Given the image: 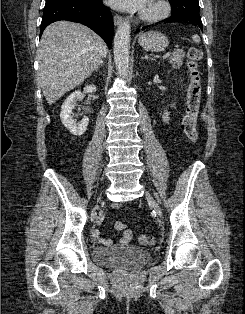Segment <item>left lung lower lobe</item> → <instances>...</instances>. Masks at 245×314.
Wrapping results in <instances>:
<instances>
[{
    "mask_svg": "<svg viewBox=\"0 0 245 314\" xmlns=\"http://www.w3.org/2000/svg\"><path fill=\"white\" fill-rule=\"evenodd\" d=\"M185 20H189V21H192V22L196 23L202 30V22H201V20H196V19L189 18V17H182V16L175 17V16H171L170 18L162 20V22L170 23V22H180V21H185ZM147 27L148 26L143 27L142 30L146 29Z\"/></svg>",
    "mask_w": 245,
    "mask_h": 314,
    "instance_id": "1",
    "label": "left lung lower lobe"
}]
</instances>
